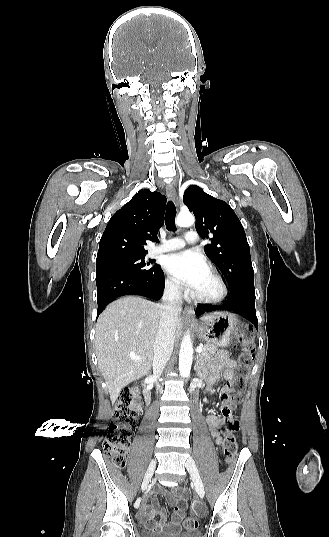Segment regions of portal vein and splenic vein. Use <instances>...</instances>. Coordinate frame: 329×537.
I'll list each match as a JSON object with an SVG mask.
<instances>
[{
  "mask_svg": "<svg viewBox=\"0 0 329 537\" xmlns=\"http://www.w3.org/2000/svg\"><path fill=\"white\" fill-rule=\"evenodd\" d=\"M203 351V349L201 347H198L197 348V352L200 354L201 352ZM129 358L133 361H142L143 358L139 357V356H136L135 354H130L129 355Z\"/></svg>",
  "mask_w": 329,
  "mask_h": 537,
  "instance_id": "obj_1",
  "label": "portal vein and splenic vein"
}]
</instances>
